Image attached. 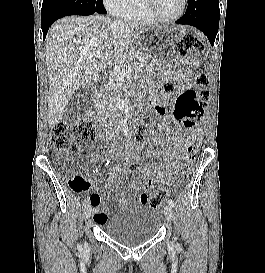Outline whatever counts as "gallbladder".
I'll return each instance as SVG.
<instances>
[{
  "label": "gallbladder",
  "mask_w": 265,
  "mask_h": 273,
  "mask_svg": "<svg viewBox=\"0 0 265 273\" xmlns=\"http://www.w3.org/2000/svg\"><path fill=\"white\" fill-rule=\"evenodd\" d=\"M92 98L91 87H81L72 97L70 103L64 112V119L68 122H74L84 116L89 109L90 100Z\"/></svg>",
  "instance_id": "gallbladder-1"
}]
</instances>
